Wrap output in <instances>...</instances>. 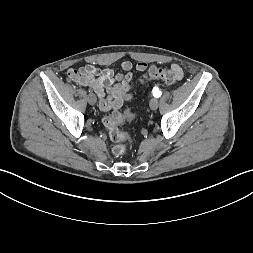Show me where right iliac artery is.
<instances>
[{
    "label": "right iliac artery",
    "mask_w": 253,
    "mask_h": 253,
    "mask_svg": "<svg viewBox=\"0 0 253 253\" xmlns=\"http://www.w3.org/2000/svg\"><path fill=\"white\" fill-rule=\"evenodd\" d=\"M88 92H89L90 94H92L93 91H92V89H88Z\"/></svg>",
    "instance_id": "1"
}]
</instances>
